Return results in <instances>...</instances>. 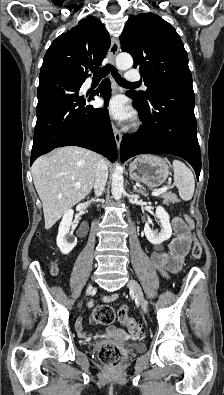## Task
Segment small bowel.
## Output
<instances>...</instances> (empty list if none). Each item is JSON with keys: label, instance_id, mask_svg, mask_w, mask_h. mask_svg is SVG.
Masks as SVG:
<instances>
[{"label": "small bowel", "instance_id": "obj_1", "mask_svg": "<svg viewBox=\"0 0 224 395\" xmlns=\"http://www.w3.org/2000/svg\"><path fill=\"white\" fill-rule=\"evenodd\" d=\"M172 224L176 230V236L169 245V252L153 251L150 260L153 266L163 275L178 272L183 264V257L188 252L190 246V237L187 226L180 218H174ZM116 295L106 296L105 300H114ZM76 329L81 337H88L82 319H77ZM111 329V328H110Z\"/></svg>", "mask_w": 224, "mask_h": 395}]
</instances>
